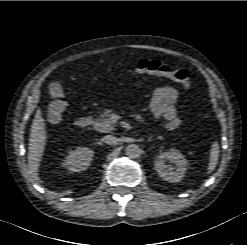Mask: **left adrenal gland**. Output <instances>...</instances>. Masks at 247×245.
<instances>
[{"label": "left adrenal gland", "instance_id": "left-adrenal-gland-1", "mask_svg": "<svg viewBox=\"0 0 247 245\" xmlns=\"http://www.w3.org/2000/svg\"><path fill=\"white\" fill-rule=\"evenodd\" d=\"M152 138H153V137H152V136H150V137L148 138V141H150Z\"/></svg>", "mask_w": 247, "mask_h": 245}]
</instances>
